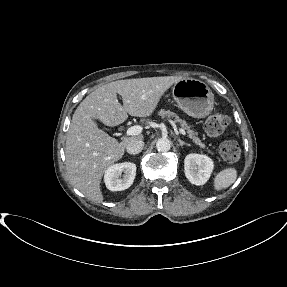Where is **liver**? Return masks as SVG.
<instances>
[{"label": "liver", "instance_id": "liver-1", "mask_svg": "<svg viewBox=\"0 0 287 287\" xmlns=\"http://www.w3.org/2000/svg\"><path fill=\"white\" fill-rule=\"evenodd\" d=\"M182 77L164 76L118 80L91 92L77 107L67 133L65 156L70 183L96 203L103 201L100 188L106 170L122 158L133 139L118 142L99 129L93 119L114 127L127 120L128 114L149 117L163 94ZM122 96L123 105L117 99Z\"/></svg>", "mask_w": 287, "mask_h": 287}]
</instances>
